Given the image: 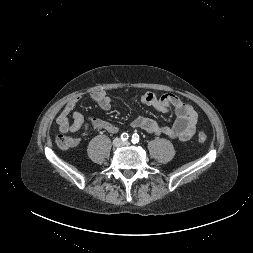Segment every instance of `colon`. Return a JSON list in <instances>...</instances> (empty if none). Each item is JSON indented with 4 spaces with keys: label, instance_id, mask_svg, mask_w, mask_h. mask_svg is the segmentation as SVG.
Wrapping results in <instances>:
<instances>
[{
    "label": "colon",
    "instance_id": "1",
    "mask_svg": "<svg viewBox=\"0 0 253 253\" xmlns=\"http://www.w3.org/2000/svg\"><path fill=\"white\" fill-rule=\"evenodd\" d=\"M197 140L199 142H205L207 140V134L204 130L198 132ZM56 142L60 148L67 149L71 146V137L70 135L60 134L57 136Z\"/></svg>",
    "mask_w": 253,
    "mask_h": 253
}]
</instances>
